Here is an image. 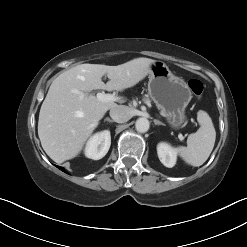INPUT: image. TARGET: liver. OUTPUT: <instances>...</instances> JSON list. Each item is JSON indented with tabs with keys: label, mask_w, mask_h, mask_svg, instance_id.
Here are the masks:
<instances>
[{
	"label": "liver",
	"mask_w": 247,
	"mask_h": 247,
	"mask_svg": "<svg viewBox=\"0 0 247 247\" xmlns=\"http://www.w3.org/2000/svg\"><path fill=\"white\" fill-rule=\"evenodd\" d=\"M155 60L136 58L117 66L81 64L60 74L50 85L38 121V136L47 155L57 163L76 157L105 113L116 106L89 94L135 86ZM107 75L105 84L102 76Z\"/></svg>",
	"instance_id": "liver-1"
}]
</instances>
